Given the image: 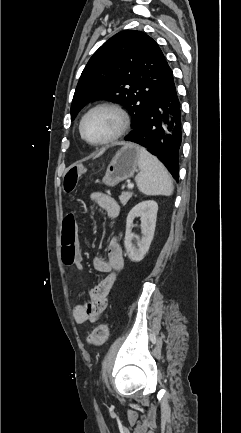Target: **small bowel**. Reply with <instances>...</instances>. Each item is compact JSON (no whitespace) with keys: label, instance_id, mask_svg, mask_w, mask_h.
Returning a JSON list of instances; mask_svg holds the SVG:
<instances>
[{"label":"small bowel","instance_id":"obj_1","mask_svg":"<svg viewBox=\"0 0 241 433\" xmlns=\"http://www.w3.org/2000/svg\"><path fill=\"white\" fill-rule=\"evenodd\" d=\"M92 202L112 218L117 217L119 214V205L108 194L97 192L92 195ZM76 229H78V225ZM74 265L82 268V255L80 251L76 252ZM93 266L96 271L109 274L98 285L89 290L88 300L75 306L73 317L77 324L97 321L107 308L110 292L116 282L117 273L124 266L122 247L117 238L110 240L107 247V257L105 259L95 257L93 259Z\"/></svg>","mask_w":241,"mask_h":433}]
</instances>
